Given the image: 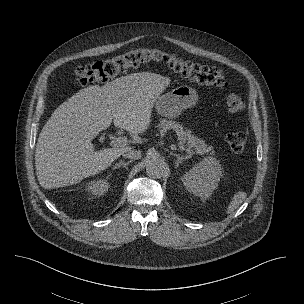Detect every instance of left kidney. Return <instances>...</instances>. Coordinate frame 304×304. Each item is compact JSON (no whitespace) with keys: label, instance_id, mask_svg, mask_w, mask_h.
<instances>
[{"label":"left kidney","instance_id":"left-kidney-1","mask_svg":"<svg viewBox=\"0 0 304 304\" xmlns=\"http://www.w3.org/2000/svg\"><path fill=\"white\" fill-rule=\"evenodd\" d=\"M222 168L215 158H205L182 177L185 188L196 196L206 199L218 186Z\"/></svg>","mask_w":304,"mask_h":304}]
</instances>
